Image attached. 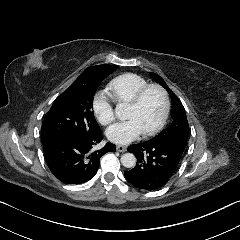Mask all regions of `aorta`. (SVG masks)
Listing matches in <instances>:
<instances>
[{"instance_id": "aorta-1", "label": "aorta", "mask_w": 240, "mask_h": 240, "mask_svg": "<svg viewBox=\"0 0 240 240\" xmlns=\"http://www.w3.org/2000/svg\"><path fill=\"white\" fill-rule=\"evenodd\" d=\"M116 115H119V109L116 110ZM121 163L126 168H132L136 165V157L132 153H125L121 156Z\"/></svg>"}]
</instances>
